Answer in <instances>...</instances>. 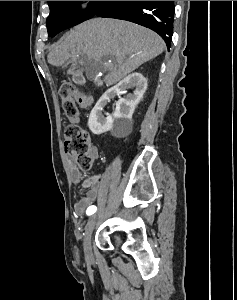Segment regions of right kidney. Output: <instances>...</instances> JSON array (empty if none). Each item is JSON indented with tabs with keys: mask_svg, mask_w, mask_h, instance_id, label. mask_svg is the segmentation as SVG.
<instances>
[{
	"mask_svg": "<svg viewBox=\"0 0 237 300\" xmlns=\"http://www.w3.org/2000/svg\"><path fill=\"white\" fill-rule=\"evenodd\" d=\"M130 89H134L132 93H128ZM147 89V81L141 73H132L125 77L123 81H120L115 87L108 89L99 101H97L95 107H93L89 119L88 127L94 135H102L111 131L114 127L115 121L118 119H131L137 105H139L145 91ZM124 95V97H121ZM119 97V101L115 103L116 109L112 115L104 117L102 115L103 107H106L110 99Z\"/></svg>",
	"mask_w": 237,
	"mask_h": 300,
	"instance_id": "1",
	"label": "right kidney"
}]
</instances>
